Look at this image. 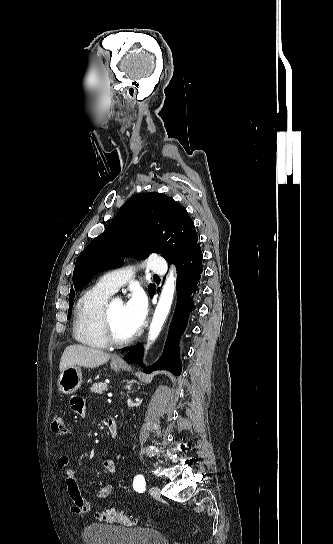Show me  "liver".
<instances>
[{
    "label": "liver",
    "mask_w": 333,
    "mask_h": 544,
    "mask_svg": "<svg viewBox=\"0 0 333 544\" xmlns=\"http://www.w3.org/2000/svg\"><path fill=\"white\" fill-rule=\"evenodd\" d=\"M110 357V354L102 350L82 345H70L66 347L61 356L59 370L62 372L64 369L76 365L96 368L108 362Z\"/></svg>",
    "instance_id": "obj_1"
}]
</instances>
